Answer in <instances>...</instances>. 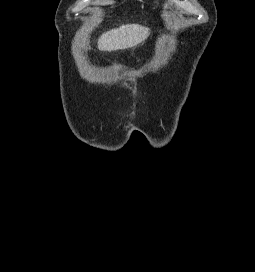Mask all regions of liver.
Returning <instances> with one entry per match:
<instances>
[{
	"mask_svg": "<svg viewBox=\"0 0 255 272\" xmlns=\"http://www.w3.org/2000/svg\"><path fill=\"white\" fill-rule=\"evenodd\" d=\"M148 28L138 24L122 25L103 33L98 39L101 51H116L131 48L144 42L149 36Z\"/></svg>",
	"mask_w": 255,
	"mask_h": 272,
	"instance_id": "obj_1",
	"label": "liver"
}]
</instances>
